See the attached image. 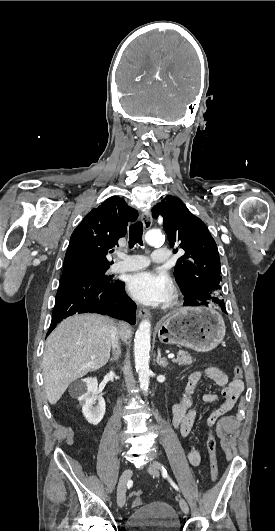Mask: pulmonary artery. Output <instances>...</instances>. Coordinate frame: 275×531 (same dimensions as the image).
<instances>
[{"mask_svg": "<svg viewBox=\"0 0 275 531\" xmlns=\"http://www.w3.org/2000/svg\"><path fill=\"white\" fill-rule=\"evenodd\" d=\"M115 255L119 260L111 266L110 272L112 273L132 271L140 269L146 265V260L143 256L129 255L122 248L116 250ZM167 256L168 253L166 250L155 249L151 252V263L153 265H165L167 263Z\"/></svg>", "mask_w": 275, "mask_h": 531, "instance_id": "obj_1", "label": "pulmonary artery"}]
</instances>
